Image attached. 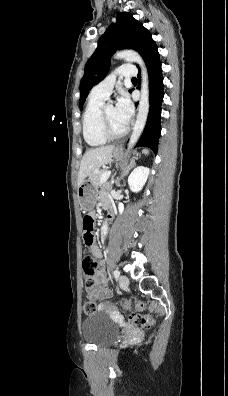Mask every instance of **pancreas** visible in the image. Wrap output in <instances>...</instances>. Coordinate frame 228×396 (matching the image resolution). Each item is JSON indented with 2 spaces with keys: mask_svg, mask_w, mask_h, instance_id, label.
Instances as JSON below:
<instances>
[{
  "mask_svg": "<svg viewBox=\"0 0 228 396\" xmlns=\"http://www.w3.org/2000/svg\"><path fill=\"white\" fill-rule=\"evenodd\" d=\"M104 172L105 171H100V172H97V173L93 172L92 174H90L89 180L95 187H99V186L103 185V183H101L100 179H101L102 174Z\"/></svg>",
  "mask_w": 228,
  "mask_h": 396,
  "instance_id": "1",
  "label": "pancreas"
}]
</instances>
